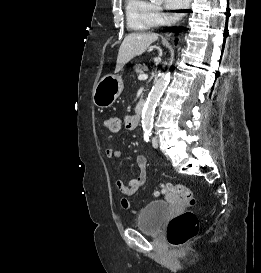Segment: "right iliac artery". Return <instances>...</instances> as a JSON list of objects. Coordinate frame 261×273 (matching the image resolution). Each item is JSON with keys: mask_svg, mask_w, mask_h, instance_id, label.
Here are the masks:
<instances>
[{"mask_svg": "<svg viewBox=\"0 0 261 273\" xmlns=\"http://www.w3.org/2000/svg\"><path fill=\"white\" fill-rule=\"evenodd\" d=\"M149 132H150V131L145 130V133H144V140H145L146 142L149 141V136H150V133H149Z\"/></svg>", "mask_w": 261, "mask_h": 273, "instance_id": "right-iliac-artery-1", "label": "right iliac artery"}]
</instances>
